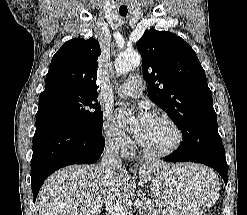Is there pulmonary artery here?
<instances>
[{
	"label": "pulmonary artery",
	"mask_w": 247,
	"mask_h": 215,
	"mask_svg": "<svg viewBox=\"0 0 247 215\" xmlns=\"http://www.w3.org/2000/svg\"><path fill=\"white\" fill-rule=\"evenodd\" d=\"M142 90L143 81L141 77L131 76L116 91L121 97H138Z\"/></svg>",
	"instance_id": "obj_1"
}]
</instances>
